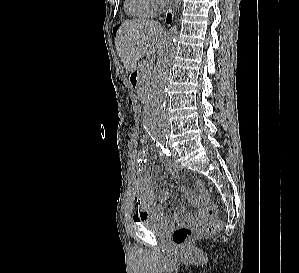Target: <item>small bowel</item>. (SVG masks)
<instances>
[{"mask_svg":"<svg viewBox=\"0 0 299 273\" xmlns=\"http://www.w3.org/2000/svg\"><path fill=\"white\" fill-rule=\"evenodd\" d=\"M148 150L142 149L137 157L136 166L139 171H142L145 165V157ZM169 173L173 177L178 176V168L170 161L165 162ZM186 199L196 207H200V198L193 194L187 189H182ZM170 198V194L167 190L162 189L158 195V201L156 202L155 193L151 187V178L148 175L138 176L136 178V192L134 195V200L136 202V211L133 216L134 221H138L141 218L147 216L148 214H154L159 218H164L165 210L162 204L166 203ZM184 219H191V216H184V210L175 212L172 215V222H179Z\"/></svg>","mask_w":299,"mask_h":273,"instance_id":"c3829d8e","label":"small bowel"}]
</instances>
